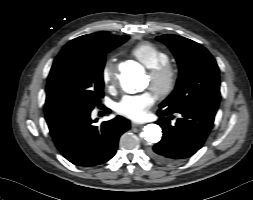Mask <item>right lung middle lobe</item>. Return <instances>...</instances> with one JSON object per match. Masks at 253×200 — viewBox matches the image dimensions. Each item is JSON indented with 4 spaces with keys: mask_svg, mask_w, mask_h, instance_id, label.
I'll use <instances>...</instances> for the list:
<instances>
[{
    "mask_svg": "<svg viewBox=\"0 0 253 200\" xmlns=\"http://www.w3.org/2000/svg\"><path fill=\"white\" fill-rule=\"evenodd\" d=\"M128 39V36H115L97 48L64 47L48 76L45 113L92 110L104 95L106 53Z\"/></svg>",
    "mask_w": 253,
    "mask_h": 200,
    "instance_id": "obj_1",
    "label": "right lung middle lobe"
}]
</instances>
